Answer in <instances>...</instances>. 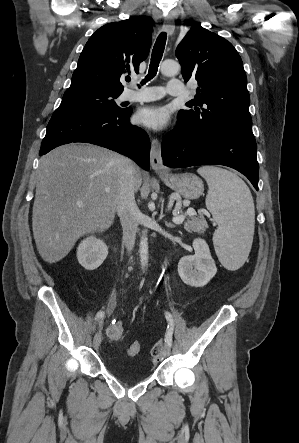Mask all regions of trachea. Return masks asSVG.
<instances>
[{
  "label": "trachea",
  "instance_id": "1",
  "mask_svg": "<svg viewBox=\"0 0 299 443\" xmlns=\"http://www.w3.org/2000/svg\"><path fill=\"white\" fill-rule=\"evenodd\" d=\"M166 38H167V34L165 32H161L159 34V36L157 37L156 42L153 47V50H152L149 71H148V74L145 77V79L142 81V84L146 83L147 81H150L157 74L158 66H159V63L162 59L163 52L165 49ZM127 81L129 82L130 79H128Z\"/></svg>",
  "mask_w": 299,
  "mask_h": 443
}]
</instances>
